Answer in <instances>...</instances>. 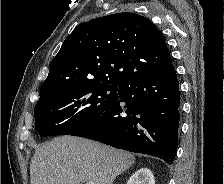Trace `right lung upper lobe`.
<instances>
[{
	"label": "right lung upper lobe",
	"mask_w": 224,
	"mask_h": 184,
	"mask_svg": "<svg viewBox=\"0 0 224 184\" xmlns=\"http://www.w3.org/2000/svg\"><path fill=\"white\" fill-rule=\"evenodd\" d=\"M171 69L166 42L148 18L129 12L108 15L81 23L65 39L51 62L39 102L79 84L123 85Z\"/></svg>",
	"instance_id": "obj_1"
}]
</instances>
